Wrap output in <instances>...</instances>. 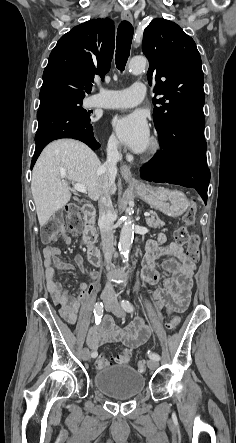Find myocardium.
Returning <instances> with one entry per match:
<instances>
[{"label": "myocardium", "instance_id": "obj_1", "mask_svg": "<svg viewBox=\"0 0 236 443\" xmlns=\"http://www.w3.org/2000/svg\"><path fill=\"white\" fill-rule=\"evenodd\" d=\"M160 150V141L157 137H152L149 141L147 148L144 151V157L152 158Z\"/></svg>", "mask_w": 236, "mask_h": 443}]
</instances>
